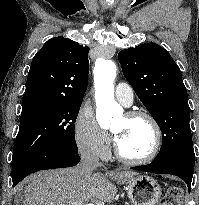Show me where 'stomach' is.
I'll return each mask as SVG.
<instances>
[{
	"label": "stomach",
	"instance_id": "obj_1",
	"mask_svg": "<svg viewBox=\"0 0 199 205\" xmlns=\"http://www.w3.org/2000/svg\"><path fill=\"white\" fill-rule=\"evenodd\" d=\"M161 185L154 178L138 175L128 180V198L133 205H158Z\"/></svg>",
	"mask_w": 199,
	"mask_h": 205
}]
</instances>
